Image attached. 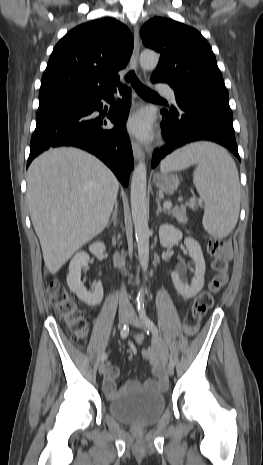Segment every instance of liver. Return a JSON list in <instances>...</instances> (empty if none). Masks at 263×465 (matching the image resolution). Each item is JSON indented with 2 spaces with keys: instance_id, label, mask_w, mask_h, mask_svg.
<instances>
[{
  "instance_id": "liver-1",
  "label": "liver",
  "mask_w": 263,
  "mask_h": 465,
  "mask_svg": "<svg viewBox=\"0 0 263 465\" xmlns=\"http://www.w3.org/2000/svg\"><path fill=\"white\" fill-rule=\"evenodd\" d=\"M118 189L112 171L80 149L55 148L33 160L27 202L51 274L104 230Z\"/></svg>"
}]
</instances>
